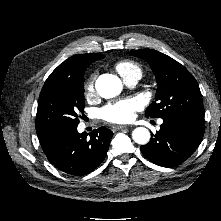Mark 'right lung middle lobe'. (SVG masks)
Masks as SVG:
<instances>
[{
	"mask_svg": "<svg viewBox=\"0 0 221 221\" xmlns=\"http://www.w3.org/2000/svg\"><path fill=\"white\" fill-rule=\"evenodd\" d=\"M83 82L84 77L46 80L40 93L36 115L38 138L77 128L78 113L85 106Z\"/></svg>",
	"mask_w": 221,
	"mask_h": 221,
	"instance_id": "obj_1",
	"label": "right lung middle lobe"
}]
</instances>
